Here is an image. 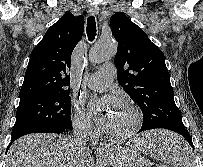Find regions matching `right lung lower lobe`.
<instances>
[{"label":"right lung lower lobe","instance_id":"obj_1","mask_svg":"<svg viewBox=\"0 0 203 167\" xmlns=\"http://www.w3.org/2000/svg\"><path fill=\"white\" fill-rule=\"evenodd\" d=\"M69 129L67 128H52V129H46V130H42L41 132L39 133H62V132H65ZM17 138H12L11 139V142L8 146V148L10 147V145L12 144L13 141H15Z\"/></svg>","mask_w":203,"mask_h":167}]
</instances>
